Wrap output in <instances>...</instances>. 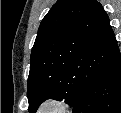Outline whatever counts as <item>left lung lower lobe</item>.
I'll use <instances>...</instances> for the list:
<instances>
[{"label":"left lung lower lobe","mask_w":121,"mask_h":113,"mask_svg":"<svg viewBox=\"0 0 121 113\" xmlns=\"http://www.w3.org/2000/svg\"><path fill=\"white\" fill-rule=\"evenodd\" d=\"M73 113H121V56L117 43L77 99Z\"/></svg>","instance_id":"1"}]
</instances>
